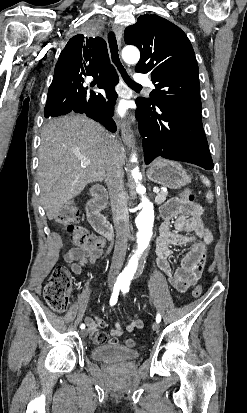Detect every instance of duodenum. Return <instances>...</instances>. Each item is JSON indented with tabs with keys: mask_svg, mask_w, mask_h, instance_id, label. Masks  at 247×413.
I'll list each match as a JSON object with an SVG mask.
<instances>
[{
	"mask_svg": "<svg viewBox=\"0 0 247 413\" xmlns=\"http://www.w3.org/2000/svg\"><path fill=\"white\" fill-rule=\"evenodd\" d=\"M108 196L105 188L95 187L87 203V218L94 229L108 239L113 238V229L110 223L101 215L102 209L107 205Z\"/></svg>",
	"mask_w": 247,
	"mask_h": 413,
	"instance_id": "obj_1",
	"label": "duodenum"
}]
</instances>
